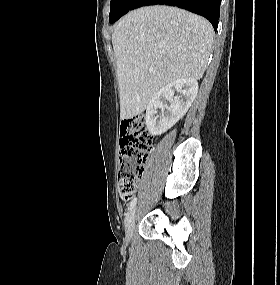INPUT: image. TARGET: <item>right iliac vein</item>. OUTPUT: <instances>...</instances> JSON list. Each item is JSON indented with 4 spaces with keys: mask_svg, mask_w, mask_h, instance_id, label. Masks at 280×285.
<instances>
[{
    "mask_svg": "<svg viewBox=\"0 0 280 285\" xmlns=\"http://www.w3.org/2000/svg\"><path fill=\"white\" fill-rule=\"evenodd\" d=\"M135 225V210H131L125 220V233L128 239H131Z\"/></svg>",
    "mask_w": 280,
    "mask_h": 285,
    "instance_id": "obj_1",
    "label": "right iliac vein"
}]
</instances>
